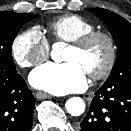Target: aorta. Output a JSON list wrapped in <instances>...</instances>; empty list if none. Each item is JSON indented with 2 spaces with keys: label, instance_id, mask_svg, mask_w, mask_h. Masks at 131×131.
<instances>
[{
  "label": "aorta",
  "instance_id": "1",
  "mask_svg": "<svg viewBox=\"0 0 131 131\" xmlns=\"http://www.w3.org/2000/svg\"><path fill=\"white\" fill-rule=\"evenodd\" d=\"M59 45L56 44L53 47V51L51 53V56L55 58L59 55ZM65 108L67 112L72 116H80L85 111V102L80 97H72L69 98L65 103Z\"/></svg>",
  "mask_w": 131,
  "mask_h": 131
}]
</instances>
